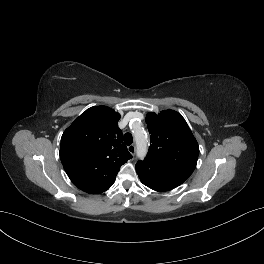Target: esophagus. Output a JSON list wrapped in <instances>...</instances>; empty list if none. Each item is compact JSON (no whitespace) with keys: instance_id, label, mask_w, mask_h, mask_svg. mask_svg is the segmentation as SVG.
Masks as SVG:
<instances>
[{"instance_id":"esophagus-1","label":"esophagus","mask_w":264,"mask_h":264,"mask_svg":"<svg viewBox=\"0 0 264 264\" xmlns=\"http://www.w3.org/2000/svg\"><path fill=\"white\" fill-rule=\"evenodd\" d=\"M128 151H129L132 155H134V154H135V151H136V147H135V145H134V144L129 145V146H128Z\"/></svg>"}]
</instances>
